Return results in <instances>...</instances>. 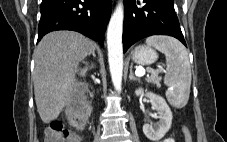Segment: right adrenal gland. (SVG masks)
<instances>
[{
    "label": "right adrenal gland",
    "instance_id": "right-adrenal-gland-1",
    "mask_svg": "<svg viewBox=\"0 0 227 142\" xmlns=\"http://www.w3.org/2000/svg\"><path fill=\"white\" fill-rule=\"evenodd\" d=\"M93 57H96L95 50L92 52Z\"/></svg>",
    "mask_w": 227,
    "mask_h": 142
}]
</instances>
